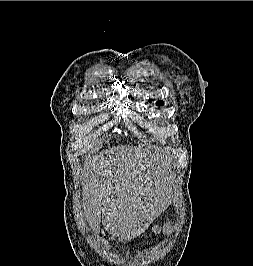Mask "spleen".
<instances>
[{
    "label": "spleen",
    "instance_id": "obj_1",
    "mask_svg": "<svg viewBox=\"0 0 253 266\" xmlns=\"http://www.w3.org/2000/svg\"><path fill=\"white\" fill-rule=\"evenodd\" d=\"M167 226H172V223H167ZM167 232H171V229H167Z\"/></svg>",
    "mask_w": 253,
    "mask_h": 266
}]
</instances>
